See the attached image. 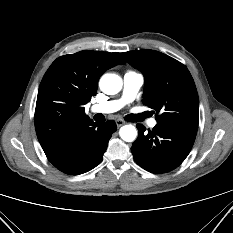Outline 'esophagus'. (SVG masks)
<instances>
[{"label":"esophagus","mask_w":233,"mask_h":233,"mask_svg":"<svg viewBox=\"0 0 233 233\" xmlns=\"http://www.w3.org/2000/svg\"><path fill=\"white\" fill-rule=\"evenodd\" d=\"M115 122H116L117 127H121L122 125L125 124V122L121 119H117Z\"/></svg>","instance_id":"esophagus-1"}]
</instances>
